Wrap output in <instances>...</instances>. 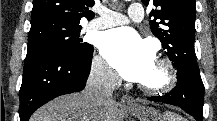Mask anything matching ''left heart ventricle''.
Returning a JSON list of instances; mask_svg holds the SVG:
<instances>
[{
	"label": "left heart ventricle",
	"mask_w": 217,
	"mask_h": 121,
	"mask_svg": "<svg viewBox=\"0 0 217 121\" xmlns=\"http://www.w3.org/2000/svg\"><path fill=\"white\" fill-rule=\"evenodd\" d=\"M160 77V71L157 68L156 64L153 65V67L151 68L148 76L142 81V82H154L156 80H158V78Z\"/></svg>",
	"instance_id": "left-heart-ventricle-1"
}]
</instances>
